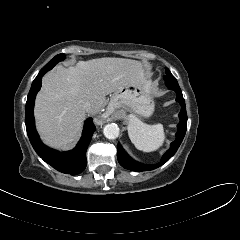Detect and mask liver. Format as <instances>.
I'll use <instances>...</instances> for the list:
<instances>
[{
    "instance_id": "liver-1",
    "label": "liver",
    "mask_w": 240,
    "mask_h": 240,
    "mask_svg": "<svg viewBox=\"0 0 240 240\" xmlns=\"http://www.w3.org/2000/svg\"><path fill=\"white\" fill-rule=\"evenodd\" d=\"M150 87L142 64L124 58L80 61L74 67L56 66L42 79L34 115L42 140L54 148H67L78 136L85 113L95 114L106 95L127 85ZM89 102L91 111L83 105Z\"/></svg>"
}]
</instances>
